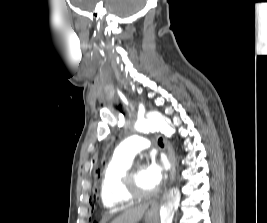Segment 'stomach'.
<instances>
[{"instance_id":"0dacf381","label":"stomach","mask_w":267,"mask_h":223,"mask_svg":"<svg viewBox=\"0 0 267 223\" xmlns=\"http://www.w3.org/2000/svg\"><path fill=\"white\" fill-rule=\"evenodd\" d=\"M156 220H157V211L154 208L148 210L145 214V222L156 223Z\"/></svg>"}]
</instances>
